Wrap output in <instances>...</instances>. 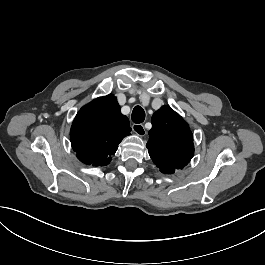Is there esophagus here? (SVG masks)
<instances>
[{"mask_svg":"<svg viewBox=\"0 0 265 265\" xmlns=\"http://www.w3.org/2000/svg\"><path fill=\"white\" fill-rule=\"evenodd\" d=\"M132 130L140 137H143L146 135L145 127L142 124H133Z\"/></svg>","mask_w":265,"mask_h":265,"instance_id":"obj_1","label":"esophagus"}]
</instances>
